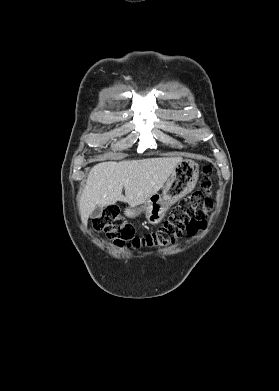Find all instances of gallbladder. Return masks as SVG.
I'll return each mask as SVG.
<instances>
[{
	"mask_svg": "<svg viewBox=\"0 0 279 391\" xmlns=\"http://www.w3.org/2000/svg\"><path fill=\"white\" fill-rule=\"evenodd\" d=\"M102 212H103V207L97 206L91 213V218L93 219L99 218Z\"/></svg>",
	"mask_w": 279,
	"mask_h": 391,
	"instance_id": "gallbladder-1",
	"label": "gallbladder"
}]
</instances>
